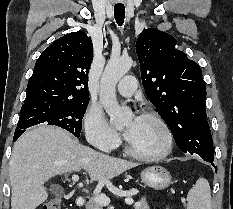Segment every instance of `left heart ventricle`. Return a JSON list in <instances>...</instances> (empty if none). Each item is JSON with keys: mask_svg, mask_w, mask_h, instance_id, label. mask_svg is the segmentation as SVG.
<instances>
[{"mask_svg": "<svg viewBox=\"0 0 233 209\" xmlns=\"http://www.w3.org/2000/svg\"><path fill=\"white\" fill-rule=\"evenodd\" d=\"M126 129L131 130L127 141L135 151L150 155L156 154L164 148V132L154 120L146 117H139L137 121L129 119Z\"/></svg>", "mask_w": 233, "mask_h": 209, "instance_id": "1", "label": "left heart ventricle"}]
</instances>
